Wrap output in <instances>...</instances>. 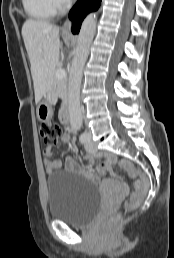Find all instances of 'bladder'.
<instances>
[{"instance_id":"31cf9c89","label":"bladder","mask_w":174,"mask_h":258,"mask_svg":"<svg viewBox=\"0 0 174 258\" xmlns=\"http://www.w3.org/2000/svg\"><path fill=\"white\" fill-rule=\"evenodd\" d=\"M48 212L53 218L75 226L92 221L102 207L98 187L83 173L61 171L48 183Z\"/></svg>"}]
</instances>
